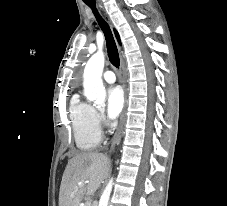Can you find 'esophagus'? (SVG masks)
I'll list each match as a JSON object with an SVG mask.
<instances>
[{"mask_svg":"<svg viewBox=\"0 0 227 206\" xmlns=\"http://www.w3.org/2000/svg\"><path fill=\"white\" fill-rule=\"evenodd\" d=\"M120 80L122 82V86L124 89V107L120 116V122L117 128V131L112 139L111 142V148L110 151H113V149L115 148V146L120 142L121 140V133L123 130V126H124V121H125V113H126V107H127V89H126V84H125V76H124V59L121 55V59H120Z\"/></svg>","mask_w":227,"mask_h":206,"instance_id":"esophagus-1","label":"esophagus"}]
</instances>
